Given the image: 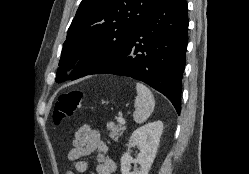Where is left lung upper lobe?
<instances>
[{
    "label": "left lung upper lobe",
    "mask_w": 249,
    "mask_h": 174,
    "mask_svg": "<svg viewBox=\"0 0 249 174\" xmlns=\"http://www.w3.org/2000/svg\"><path fill=\"white\" fill-rule=\"evenodd\" d=\"M158 0H82L63 44L56 81L80 59L71 80L110 67L139 32Z\"/></svg>",
    "instance_id": "5c2ea615"
}]
</instances>
